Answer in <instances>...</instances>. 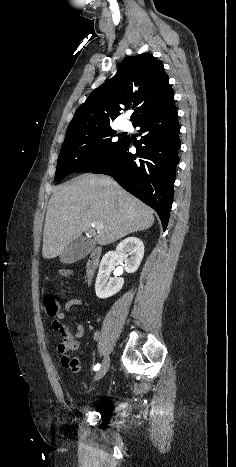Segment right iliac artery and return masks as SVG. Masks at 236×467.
<instances>
[{
    "instance_id": "1",
    "label": "right iliac artery",
    "mask_w": 236,
    "mask_h": 467,
    "mask_svg": "<svg viewBox=\"0 0 236 467\" xmlns=\"http://www.w3.org/2000/svg\"><path fill=\"white\" fill-rule=\"evenodd\" d=\"M99 369H100V364L98 363V364H96V365L94 366V371H97V370H99Z\"/></svg>"
}]
</instances>
